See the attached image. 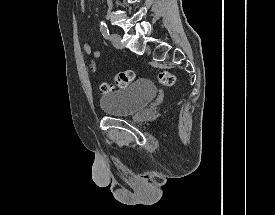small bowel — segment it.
<instances>
[{
	"label": "small bowel",
	"mask_w": 275,
	"mask_h": 215,
	"mask_svg": "<svg viewBox=\"0 0 275 215\" xmlns=\"http://www.w3.org/2000/svg\"><path fill=\"white\" fill-rule=\"evenodd\" d=\"M82 51L86 54H93L94 58H99L101 56V52L99 50H92V47L89 43L85 42L82 44Z\"/></svg>",
	"instance_id": "obj_1"
}]
</instances>
